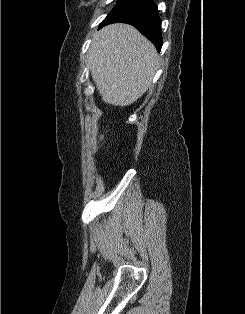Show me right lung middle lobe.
<instances>
[{
    "label": "right lung middle lobe",
    "mask_w": 245,
    "mask_h": 314,
    "mask_svg": "<svg viewBox=\"0 0 245 314\" xmlns=\"http://www.w3.org/2000/svg\"><path fill=\"white\" fill-rule=\"evenodd\" d=\"M128 1L129 0H118L116 6L112 9V11L109 14H111L113 11H115L117 8L121 7L122 5H124Z\"/></svg>",
    "instance_id": "right-lung-middle-lobe-1"
}]
</instances>
